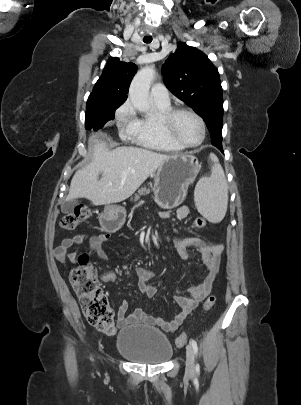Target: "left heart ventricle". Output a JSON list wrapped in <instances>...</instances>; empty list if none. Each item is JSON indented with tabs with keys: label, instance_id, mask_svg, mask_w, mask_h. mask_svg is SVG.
Masks as SVG:
<instances>
[{
	"label": "left heart ventricle",
	"instance_id": "left-heart-ventricle-1",
	"mask_svg": "<svg viewBox=\"0 0 301 405\" xmlns=\"http://www.w3.org/2000/svg\"><path fill=\"white\" fill-rule=\"evenodd\" d=\"M175 132L187 144H195L201 138V127L195 117L188 113L179 115L175 122Z\"/></svg>",
	"mask_w": 301,
	"mask_h": 405
}]
</instances>
